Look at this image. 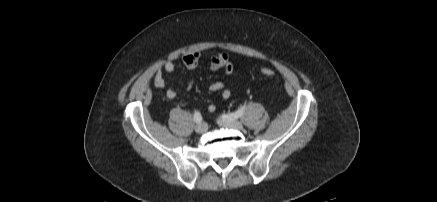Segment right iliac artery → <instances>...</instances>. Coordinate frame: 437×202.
I'll return each mask as SVG.
<instances>
[{"label":"right iliac artery","mask_w":437,"mask_h":202,"mask_svg":"<svg viewBox=\"0 0 437 202\" xmlns=\"http://www.w3.org/2000/svg\"><path fill=\"white\" fill-rule=\"evenodd\" d=\"M194 121L196 122V123H201L202 122V116H201V114H200V112H198V111H196L195 113H194Z\"/></svg>","instance_id":"82829eb1"}]
</instances>
